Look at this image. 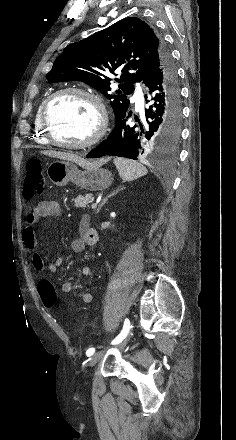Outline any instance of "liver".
<instances>
[{"label":"liver","mask_w":236,"mask_h":440,"mask_svg":"<svg viewBox=\"0 0 236 440\" xmlns=\"http://www.w3.org/2000/svg\"><path fill=\"white\" fill-rule=\"evenodd\" d=\"M41 153L44 155H48L50 157L75 162L82 167H100L102 164H104L107 161V159H100L95 162H89L73 153H66L60 151H42Z\"/></svg>","instance_id":"obj_1"}]
</instances>
